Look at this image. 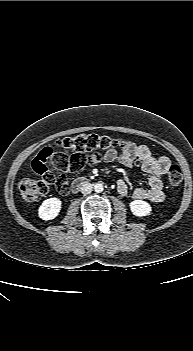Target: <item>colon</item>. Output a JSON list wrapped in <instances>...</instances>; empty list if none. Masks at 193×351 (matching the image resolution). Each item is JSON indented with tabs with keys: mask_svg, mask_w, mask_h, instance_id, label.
<instances>
[{
	"mask_svg": "<svg viewBox=\"0 0 193 351\" xmlns=\"http://www.w3.org/2000/svg\"><path fill=\"white\" fill-rule=\"evenodd\" d=\"M57 146L71 152L70 155L56 153L52 148L46 147L32 161L33 171L41 176L40 180L24 178L19 182L21 197L26 202H34L45 196L50 186L58 192L65 193L68 189L66 176H56L47 170V164L63 172H75L86 166L100 162L104 152L122 146L121 142L107 135L81 134L59 140ZM168 182L172 187L181 184L183 174L180 167L173 164L168 169Z\"/></svg>",
	"mask_w": 193,
	"mask_h": 351,
	"instance_id": "colon-1",
	"label": "colon"
}]
</instances>
